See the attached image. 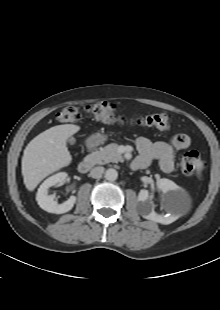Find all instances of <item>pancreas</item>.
Masks as SVG:
<instances>
[{
  "mask_svg": "<svg viewBox=\"0 0 220 310\" xmlns=\"http://www.w3.org/2000/svg\"><path fill=\"white\" fill-rule=\"evenodd\" d=\"M89 158H91L95 164H107L109 162H121L123 161V158L121 154L118 152V144L111 143L106 145L103 148H100L99 150H96L88 155Z\"/></svg>",
  "mask_w": 220,
  "mask_h": 310,
  "instance_id": "cf45deb5",
  "label": "pancreas"
}]
</instances>
